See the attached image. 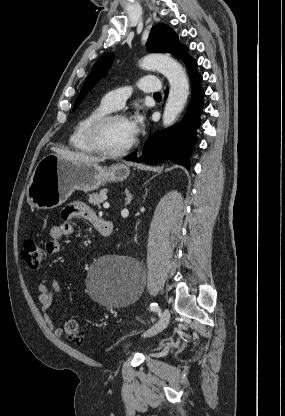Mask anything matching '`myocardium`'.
I'll list each match as a JSON object with an SVG mask.
<instances>
[{
	"instance_id": "obj_1",
	"label": "myocardium",
	"mask_w": 285,
	"mask_h": 416,
	"mask_svg": "<svg viewBox=\"0 0 285 416\" xmlns=\"http://www.w3.org/2000/svg\"><path fill=\"white\" fill-rule=\"evenodd\" d=\"M115 119L125 120V116L118 112L109 111L97 117L89 125L87 130V141L95 153L108 157H120L126 154L132 148V140L127 146L119 150L109 149L103 144L101 140V134L105 126Z\"/></svg>"
}]
</instances>
